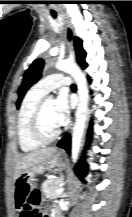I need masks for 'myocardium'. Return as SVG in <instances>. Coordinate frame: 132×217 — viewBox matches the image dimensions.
Wrapping results in <instances>:
<instances>
[{
    "label": "myocardium",
    "mask_w": 132,
    "mask_h": 217,
    "mask_svg": "<svg viewBox=\"0 0 132 217\" xmlns=\"http://www.w3.org/2000/svg\"><path fill=\"white\" fill-rule=\"evenodd\" d=\"M48 99H49L48 97H44L38 103V105L36 106L33 112V115L31 117V123H30L31 134L33 138L41 144H48L55 141L61 133V130L59 128L53 134L50 135L46 134L43 130L42 116H43L45 104Z\"/></svg>",
    "instance_id": "1"
}]
</instances>
